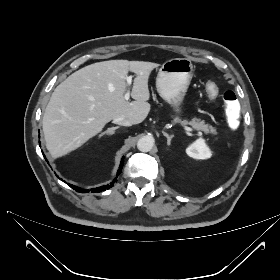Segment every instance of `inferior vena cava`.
<instances>
[{"label":"inferior vena cava","mask_w":280,"mask_h":280,"mask_svg":"<svg viewBox=\"0 0 280 280\" xmlns=\"http://www.w3.org/2000/svg\"><path fill=\"white\" fill-rule=\"evenodd\" d=\"M113 123L121 125V126H131V125H133V122L131 120L126 119L124 117L114 118Z\"/></svg>","instance_id":"602c4592"}]
</instances>
